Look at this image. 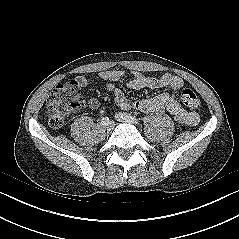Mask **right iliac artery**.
I'll use <instances>...</instances> for the list:
<instances>
[{"label": "right iliac artery", "instance_id": "right-iliac-artery-1", "mask_svg": "<svg viewBox=\"0 0 239 239\" xmlns=\"http://www.w3.org/2000/svg\"><path fill=\"white\" fill-rule=\"evenodd\" d=\"M102 124L104 125L105 123L110 126H114L115 122L111 121L108 117H103L101 120Z\"/></svg>", "mask_w": 239, "mask_h": 239}]
</instances>
